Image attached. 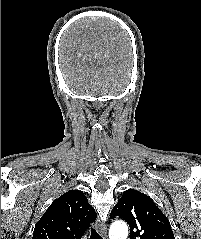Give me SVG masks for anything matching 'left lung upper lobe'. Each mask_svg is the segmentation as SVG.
<instances>
[{
  "instance_id": "5c2ea615",
  "label": "left lung upper lobe",
  "mask_w": 201,
  "mask_h": 239,
  "mask_svg": "<svg viewBox=\"0 0 201 239\" xmlns=\"http://www.w3.org/2000/svg\"><path fill=\"white\" fill-rule=\"evenodd\" d=\"M121 217L130 227V239H175L169 220L147 195L129 189L110 214Z\"/></svg>"
}]
</instances>
